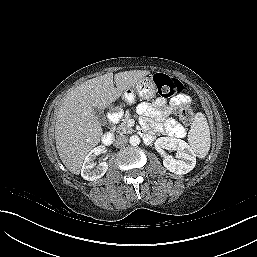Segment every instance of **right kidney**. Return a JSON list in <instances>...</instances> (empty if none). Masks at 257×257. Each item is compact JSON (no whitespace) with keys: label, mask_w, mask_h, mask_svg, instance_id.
Segmentation results:
<instances>
[{"label":"right kidney","mask_w":257,"mask_h":257,"mask_svg":"<svg viewBox=\"0 0 257 257\" xmlns=\"http://www.w3.org/2000/svg\"><path fill=\"white\" fill-rule=\"evenodd\" d=\"M105 152L104 146H98L92 149L84 159L83 166L81 168V176L88 181H93L101 178L105 175L108 169V163L101 162L95 167V158Z\"/></svg>","instance_id":"1"}]
</instances>
